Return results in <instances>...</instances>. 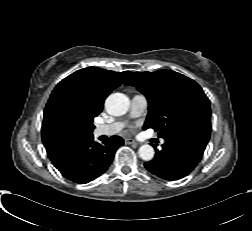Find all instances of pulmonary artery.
<instances>
[{"label":"pulmonary artery","mask_w":252,"mask_h":231,"mask_svg":"<svg viewBox=\"0 0 252 231\" xmlns=\"http://www.w3.org/2000/svg\"><path fill=\"white\" fill-rule=\"evenodd\" d=\"M147 99L142 94H136L133 96L130 105V116L135 118L141 116L147 108ZM124 124L122 122H113L110 124L98 125L96 126L94 133L96 136H111L117 134L122 130ZM164 143V140H161Z\"/></svg>","instance_id":"e3ab8cb5"}]
</instances>
